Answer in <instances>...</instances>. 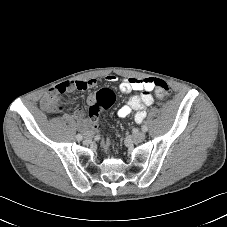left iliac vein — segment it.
I'll list each match as a JSON object with an SVG mask.
<instances>
[{"label": "left iliac vein", "mask_w": 227, "mask_h": 227, "mask_svg": "<svg viewBox=\"0 0 227 227\" xmlns=\"http://www.w3.org/2000/svg\"><path fill=\"white\" fill-rule=\"evenodd\" d=\"M146 134L144 132H138L132 136V140L135 143H140L144 141Z\"/></svg>", "instance_id": "left-iliac-vein-1"}]
</instances>
